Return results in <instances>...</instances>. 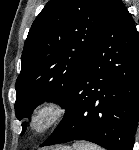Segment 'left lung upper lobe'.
I'll return each instance as SVG.
<instances>
[{
  "mask_svg": "<svg viewBox=\"0 0 139 150\" xmlns=\"http://www.w3.org/2000/svg\"><path fill=\"white\" fill-rule=\"evenodd\" d=\"M115 0H50L34 20L17 78L15 113L27 118L44 101L65 105ZM26 130L23 123L22 133Z\"/></svg>",
  "mask_w": 139,
  "mask_h": 150,
  "instance_id": "obj_1",
  "label": "left lung upper lobe"
}]
</instances>
